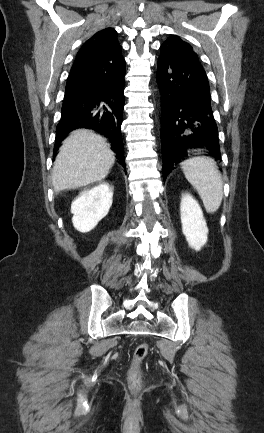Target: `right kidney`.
I'll return each instance as SVG.
<instances>
[{"instance_id": "ca27d5eb", "label": "right kidney", "mask_w": 264, "mask_h": 433, "mask_svg": "<svg viewBox=\"0 0 264 433\" xmlns=\"http://www.w3.org/2000/svg\"><path fill=\"white\" fill-rule=\"evenodd\" d=\"M113 190L108 183L84 189L71 204L72 223L82 233L91 231L109 212Z\"/></svg>"}]
</instances>
